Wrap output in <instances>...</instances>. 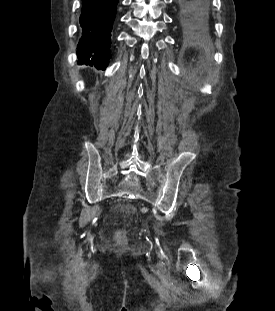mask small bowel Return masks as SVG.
<instances>
[{
	"mask_svg": "<svg viewBox=\"0 0 275 311\" xmlns=\"http://www.w3.org/2000/svg\"><path fill=\"white\" fill-rule=\"evenodd\" d=\"M203 85H204V86H207V85H208V82H207V81H204V82H203Z\"/></svg>",
	"mask_w": 275,
	"mask_h": 311,
	"instance_id": "c3829d8e",
	"label": "small bowel"
}]
</instances>
